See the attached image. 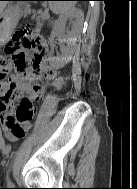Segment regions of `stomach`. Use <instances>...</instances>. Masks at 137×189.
<instances>
[{
	"instance_id": "obj_1",
	"label": "stomach",
	"mask_w": 137,
	"mask_h": 189,
	"mask_svg": "<svg viewBox=\"0 0 137 189\" xmlns=\"http://www.w3.org/2000/svg\"><path fill=\"white\" fill-rule=\"evenodd\" d=\"M18 11L15 6L10 5L0 14V35L8 34L15 25Z\"/></svg>"
}]
</instances>
